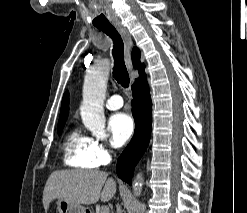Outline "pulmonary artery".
<instances>
[{"instance_id":"pulmonary-artery-1","label":"pulmonary artery","mask_w":247,"mask_h":213,"mask_svg":"<svg viewBox=\"0 0 247 213\" xmlns=\"http://www.w3.org/2000/svg\"><path fill=\"white\" fill-rule=\"evenodd\" d=\"M123 106V99L119 95H114L110 97L106 102V107L109 110H117Z\"/></svg>"}]
</instances>
